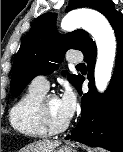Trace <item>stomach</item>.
I'll list each match as a JSON object with an SVG mask.
<instances>
[{
    "mask_svg": "<svg viewBox=\"0 0 123 152\" xmlns=\"http://www.w3.org/2000/svg\"><path fill=\"white\" fill-rule=\"evenodd\" d=\"M55 152H76V150L69 146H62L59 149H57Z\"/></svg>",
    "mask_w": 123,
    "mask_h": 152,
    "instance_id": "obj_1",
    "label": "stomach"
}]
</instances>
